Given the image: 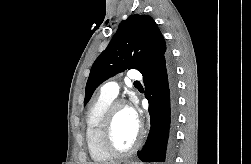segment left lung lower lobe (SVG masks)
<instances>
[{"mask_svg": "<svg viewBox=\"0 0 251 164\" xmlns=\"http://www.w3.org/2000/svg\"><path fill=\"white\" fill-rule=\"evenodd\" d=\"M143 81L151 127L138 157L143 162H169L177 118V85L169 55L144 75Z\"/></svg>", "mask_w": 251, "mask_h": 164, "instance_id": "left-lung-lower-lobe-1", "label": "left lung lower lobe"}]
</instances>
